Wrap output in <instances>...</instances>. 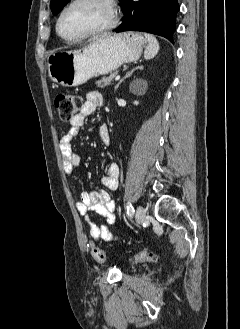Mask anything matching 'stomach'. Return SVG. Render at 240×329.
I'll list each match as a JSON object with an SVG mask.
<instances>
[{"mask_svg": "<svg viewBox=\"0 0 240 329\" xmlns=\"http://www.w3.org/2000/svg\"><path fill=\"white\" fill-rule=\"evenodd\" d=\"M145 44L146 40L135 32L104 34L83 49L51 54L47 59L48 73L62 86H79L93 77L113 72L124 63L137 61Z\"/></svg>", "mask_w": 240, "mask_h": 329, "instance_id": "1", "label": "stomach"}]
</instances>
